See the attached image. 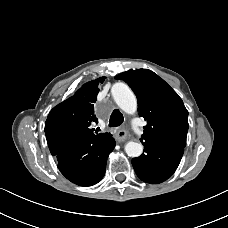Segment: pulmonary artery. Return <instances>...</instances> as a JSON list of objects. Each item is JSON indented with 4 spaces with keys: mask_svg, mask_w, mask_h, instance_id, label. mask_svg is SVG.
<instances>
[{
    "mask_svg": "<svg viewBox=\"0 0 228 228\" xmlns=\"http://www.w3.org/2000/svg\"><path fill=\"white\" fill-rule=\"evenodd\" d=\"M134 128H135L137 133H139V134L141 133V130L139 129V127H138L136 122H134Z\"/></svg>",
    "mask_w": 228,
    "mask_h": 228,
    "instance_id": "1",
    "label": "pulmonary artery"
}]
</instances>
